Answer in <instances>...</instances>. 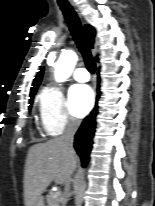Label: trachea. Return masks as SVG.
<instances>
[{
  "label": "trachea",
  "mask_w": 155,
  "mask_h": 206,
  "mask_svg": "<svg viewBox=\"0 0 155 206\" xmlns=\"http://www.w3.org/2000/svg\"><path fill=\"white\" fill-rule=\"evenodd\" d=\"M58 5L60 9L63 11L65 19L68 23V27L70 29L71 35L83 56L86 67L90 73H94L96 69V64L93 56L91 55V51L89 48V44L85 35V32L81 26V22L75 13L72 6L67 1H58Z\"/></svg>",
  "instance_id": "3493384b"
}]
</instances>
